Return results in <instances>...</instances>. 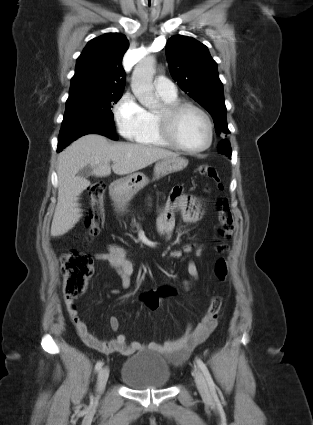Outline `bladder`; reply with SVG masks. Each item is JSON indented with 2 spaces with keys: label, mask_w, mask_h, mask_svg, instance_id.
Returning a JSON list of instances; mask_svg holds the SVG:
<instances>
[{
  "label": "bladder",
  "mask_w": 313,
  "mask_h": 425,
  "mask_svg": "<svg viewBox=\"0 0 313 425\" xmlns=\"http://www.w3.org/2000/svg\"><path fill=\"white\" fill-rule=\"evenodd\" d=\"M120 380L134 390L162 389L169 385L171 371L163 356L146 351L123 362Z\"/></svg>",
  "instance_id": "obj_1"
}]
</instances>
